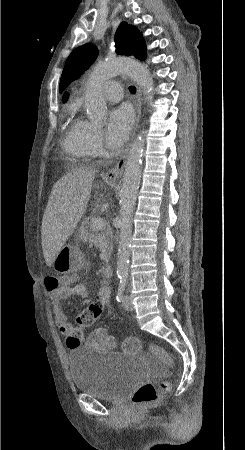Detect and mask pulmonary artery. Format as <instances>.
Segmentation results:
<instances>
[{"mask_svg":"<svg viewBox=\"0 0 245 450\" xmlns=\"http://www.w3.org/2000/svg\"><path fill=\"white\" fill-rule=\"evenodd\" d=\"M122 89V84L116 80H108L102 86V93L105 99L108 101L117 102L122 99L120 90Z\"/></svg>","mask_w":245,"mask_h":450,"instance_id":"pulmonary-artery-1","label":"pulmonary artery"}]
</instances>
